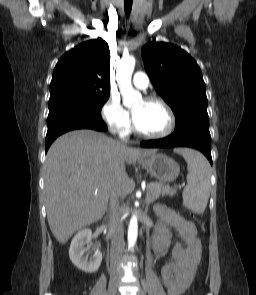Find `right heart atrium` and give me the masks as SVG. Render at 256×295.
Masks as SVG:
<instances>
[{
  "instance_id": "d8ad5b80",
  "label": "right heart atrium",
  "mask_w": 256,
  "mask_h": 295,
  "mask_svg": "<svg viewBox=\"0 0 256 295\" xmlns=\"http://www.w3.org/2000/svg\"><path fill=\"white\" fill-rule=\"evenodd\" d=\"M101 115L109 128L125 136L131 129V119L128 111L122 106L117 97H110L103 105Z\"/></svg>"
}]
</instances>
